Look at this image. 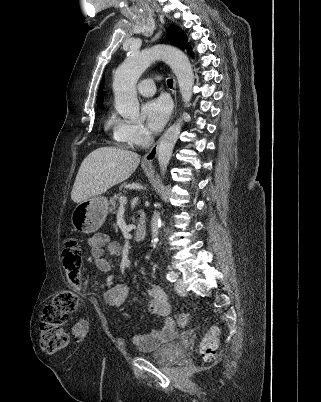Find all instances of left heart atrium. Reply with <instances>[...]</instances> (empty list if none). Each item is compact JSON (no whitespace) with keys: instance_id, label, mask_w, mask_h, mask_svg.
I'll list each match as a JSON object with an SVG mask.
<instances>
[{"instance_id":"1","label":"left heart atrium","mask_w":321,"mask_h":402,"mask_svg":"<svg viewBox=\"0 0 321 402\" xmlns=\"http://www.w3.org/2000/svg\"><path fill=\"white\" fill-rule=\"evenodd\" d=\"M171 113V104L165 97L149 100L143 106V114L147 127L152 132H158L165 125Z\"/></svg>"}]
</instances>
